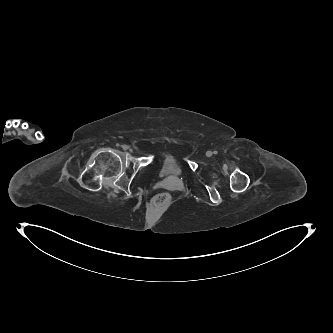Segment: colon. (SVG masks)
I'll list each match as a JSON object with an SVG mask.
<instances>
[{"mask_svg": "<svg viewBox=\"0 0 333 333\" xmlns=\"http://www.w3.org/2000/svg\"><path fill=\"white\" fill-rule=\"evenodd\" d=\"M172 202V197L168 192H161L156 194L152 201L151 206L156 210H166L170 207Z\"/></svg>", "mask_w": 333, "mask_h": 333, "instance_id": "obj_1", "label": "colon"}]
</instances>
